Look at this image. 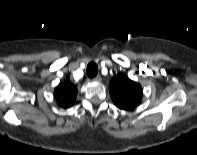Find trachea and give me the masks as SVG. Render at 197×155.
I'll use <instances>...</instances> for the list:
<instances>
[{
    "instance_id": "obj_1",
    "label": "trachea",
    "mask_w": 197,
    "mask_h": 155,
    "mask_svg": "<svg viewBox=\"0 0 197 155\" xmlns=\"http://www.w3.org/2000/svg\"><path fill=\"white\" fill-rule=\"evenodd\" d=\"M86 72L89 77H95L98 73V66L95 63H90L87 66Z\"/></svg>"
}]
</instances>
